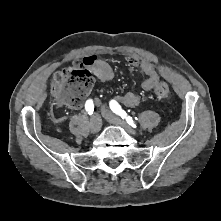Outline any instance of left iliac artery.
Returning a JSON list of instances; mask_svg holds the SVG:
<instances>
[{
	"label": "left iliac artery",
	"instance_id": "44dca946",
	"mask_svg": "<svg viewBox=\"0 0 221 221\" xmlns=\"http://www.w3.org/2000/svg\"><path fill=\"white\" fill-rule=\"evenodd\" d=\"M109 105H110L111 110L115 114L119 115L122 119H125L127 123L130 124L132 127H136V124L134 120L132 119V117L126 114V112L121 108V106L118 104L117 101L111 100Z\"/></svg>",
	"mask_w": 221,
	"mask_h": 221
}]
</instances>
